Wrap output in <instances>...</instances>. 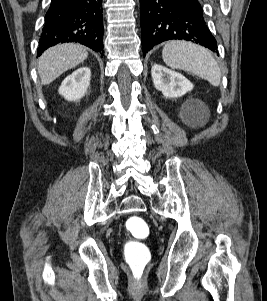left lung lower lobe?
<instances>
[{"instance_id":"obj_1","label":"left lung lower lobe","mask_w":267,"mask_h":301,"mask_svg":"<svg viewBox=\"0 0 267 301\" xmlns=\"http://www.w3.org/2000/svg\"><path fill=\"white\" fill-rule=\"evenodd\" d=\"M140 25L144 55L170 39L196 42L218 52L198 0H140Z\"/></svg>"}]
</instances>
